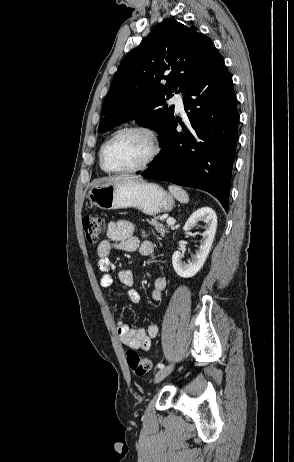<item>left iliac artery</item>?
<instances>
[{
    "label": "left iliac artery",
    "mask_w": 294,
    "mask_h": 462,
    "mask_svg": "<svg viewBox=\"0 0 294 462\" xmlns=\"http://www.w3.org/2000/svg\"><path fill=\"white\" fill-rule=\"evenodd\" d=\"M157 367H158L159 369H164V368H166V366H165L164 364H161V363H159V364L157 365Z\"/></svg>",
    "instance_id": "left-iliac-artery-1"
}]
</instances>
